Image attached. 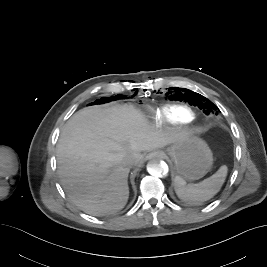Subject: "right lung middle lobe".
Wrapping results in <instances>:
<instances>
[{
    "mask_svg": "<svg viewBox=\"0 0 267 267\" xmlns=\"http://www.w3.org/2000/svg\"><path fill=\"white\" fill-rule=\"evenodd\" d=\"M120 98H124V96L117 95V96L109 97V98H101V100H97L95 103L101 104V103L109 102V101H112V100H117V99H120Z\"/></svg>",
    "mask_w": 267,
    "mask_h": 267,
    "instance_id": "dd1d6c3e",
    "label": "right lung middle lobe"
}]
</instances>
